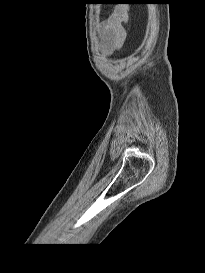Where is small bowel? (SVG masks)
<instances>
[{
  "mask_svg": "<svg viewBox=\"0 0 205 273\" xmlns=\"http://www.w3.org/2000/svg\"><path fill=\"white\" fill-rule=\"evenodd\" d=\"M128 16L124 11L115 10L101 27L102 50L105 54H111L119 49L126 38L124 24Z\"/></svg>",
  "mask_w": 205,
  "mask_h": 273,
  "instance_id": "1",
  "label": "small bowel"
}]
</instances>
